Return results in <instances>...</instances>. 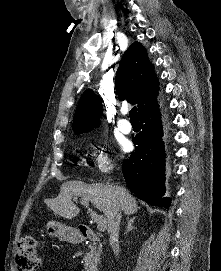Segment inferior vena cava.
<instances>
[{"label":"inferior vena cava","instance_id":"inferior-vena-cava-1","mask_svg":"<svg viewBox=\"0 0 221 271\" xmlns=\"http://www.w3.org/2000/svg\"><path fill=\"white\" fill-rule=\"evenodd\" d=\"M121 217H122V211L121 209H117L115 213V217L113 219V223L111 225V229H110L109 243L115 255H119L121 251L119 241H118Z\"/></svg>","mask_w":221,"mask_h":271}]
</instances>
